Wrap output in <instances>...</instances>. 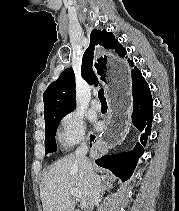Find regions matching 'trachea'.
I'll return each mask as SVG.
<instances>
[{
    "instance_id": "1",
    "label": "trachea",
    "mask_w": 179,
    "mask_h": 211,
    "mask_svg": "<svg viewBox=\"0 0 179 211\" xmlns=\"http://www.w3.org/2000/svg\"><path fill=\"white\" fill-rule=\"evenodd\" d=\"M98 97L100 99V101H106L105 96H104V90L100 89L98 92Z\"/></svg>"
}]
</instances>
